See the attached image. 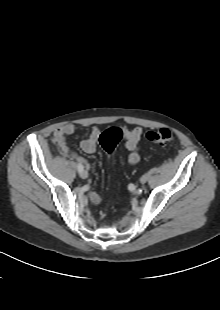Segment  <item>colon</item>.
Listing matches in <instances>:
<instances>
[{
    "mask_svg": "<svg viewBox=\"0 0 220 310\" xmlns=\"http://www.w3.org/2000/svg\"><path fill=\"white\" fill-rule=\"evenodd\" d=\"M145 137L148 141L158 144H168L173 140L172 132L167 128L150 130L146 133ZM122 138V129L118 127H112L100 133L99 144L102 149L110 156Z\"/></svg>",
    "mask_w": 220,
    "mask_h": 310,
    "instance_id": "1",
    "label": "colon"
}]
</instances>
